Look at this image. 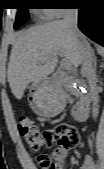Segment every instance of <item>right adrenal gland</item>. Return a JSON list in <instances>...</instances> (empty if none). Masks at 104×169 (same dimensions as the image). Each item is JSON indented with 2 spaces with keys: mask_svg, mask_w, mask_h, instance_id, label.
Listing matches in <instances>:
<instances>
[{
  "mask_svg": "<svg viewBox=\"0 0 104 169\" xmlns=\"http://www.w3.org/2000/svg\"><path fill=\"white\" fill-rule=\"evenodd\" d=\"M92 53H93V61H94V65L96 66V65H97V59H96L94 50L92 51Z\"/></svg>",
  "mask_w": 104,
  "mask_h": 169,
  "instance_id": "1",
  "label": "right adrenal gland"
}]
</instances>
